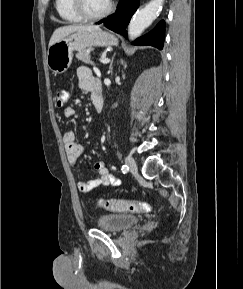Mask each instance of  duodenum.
I'll return each mask as SVG.
<instances>
[{"instance_id": "410a0bca", "label": "duodenum", "mask_w": 243, "mask_h": 289, "mask_svg": "<svg viewBox=\"0 0 243 289\" xmlns=\"http://www.w3.org/2000/svg\"><path fill=\"white\" fill-rule=\"evenodd\" d=\"M94 103L96 111H101L103 107V99H102V93H101V87H97L94 91Z\"/></svg>"}]
</instances>
